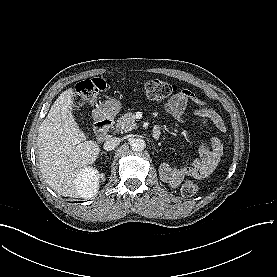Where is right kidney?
Returning a JSON list of instances; mask_svg holds the SVG:
<instances>
[{
  "label": "right kidney",
  "instance_id": "ca27d5eb",
  "mask_svg": "<svg viewBox=\"0 0 277 277\" xmlns=\"http://www.w3.org/2000/svg\"><path fill=\"white\" fill-rule=\"evenodd\" d=\"M100 174L93 167L83 168L76 176L78 191L82 197H92L98 192Z\"/></svg>",
  "mask_w": 277,
  "mask_h": 277
}]
</instances>
